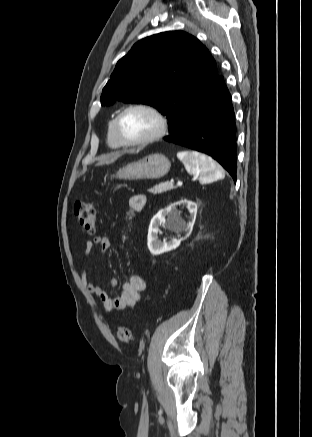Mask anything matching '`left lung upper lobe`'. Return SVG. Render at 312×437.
I'll list each match as a JSON object with an SVG mask.
<instances>
[{"mask_svg":"<svg viewBox=\"0 0 312 437\" xmlns=\"http://www.w3.org/2000/svg\"><path fill=\"white\" fill-rule=\"evenodd\" d=\"M217 77L215 60L195 37L164 32L137 42L118 61L100 100L153 106L167 116L172 132Z\"/></svg>","mask_w":312,"mask_h":437,"instance_id":"left-lung-upper-lobe-1","label":"left lung upper lobe"}]
</instances>
